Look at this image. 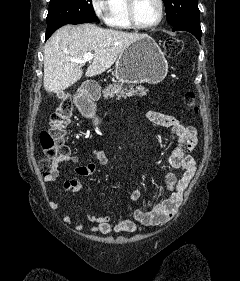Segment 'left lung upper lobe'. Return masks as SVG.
Instances as JSON below:
<instances>
[{
    "label": "left lung upper lobe",
    "instance_id": "obj_1",
    "mask_svg": "<svg viewBox=\"0 0 240 281\" xmlns=\"http://www.w3.org/2000/svg\"><path fill=\"white\" fill-rule=\"evenodd\" d=\"M167 21L172 25L182 23L200 24L197 0H163Z\"/></svg>",
    "mask_w": 240,
    "mask_h": 281
}]
</instances>
